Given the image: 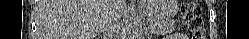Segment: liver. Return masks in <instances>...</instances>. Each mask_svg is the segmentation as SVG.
<instances>
[{"label": "liver", "mask_w": 249, "mask_h": 39, "mask_svg": "<svg viewBox=\"0 0 249 39\" xmlns=\"http://www.w3.org/2000/svg\"><path fill=\"white\" fill-rule=\"evenodd\" d=\"M119 2L117 12L123 11ZM114 0H40L37 6L38 39H95Z\"/></svg>", "instance_id": "obj_1"}]
</instances>
